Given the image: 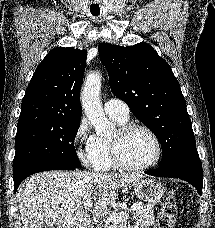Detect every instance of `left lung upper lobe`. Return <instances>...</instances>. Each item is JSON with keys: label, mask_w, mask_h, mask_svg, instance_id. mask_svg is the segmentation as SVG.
<instances>
[{"label": "left lung upper lobe", "mask_w": 215, "mask_h": 228, "mask_svg": "<svg viewBox=\"0 0 215 228\" xmlns=\"http://www.w3.org/2000/svg\"><path fill=\"white\" fill-rule=\"evenodd\" d=\"M99 56L109 73L113 94L158 138L162 147L160 165L196 149L179 82L169 64L150 45L100 44Z\"/></svg>", "instance_id": "obj_1"}]
</instances>
